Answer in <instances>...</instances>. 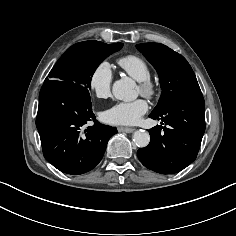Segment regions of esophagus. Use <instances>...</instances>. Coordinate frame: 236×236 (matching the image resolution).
<instances>
[{"instance_id":"1","label":"esophagus","mask_w":236,"mask_h":236,"mask_svg":"<svg viewBox=\"0 0 236 236\" xmlns=\"http://www.w3.org/2000/svg\"><path fill=\"white\" fill-rule=\"evenodd\" d=\"M134 130H135L134 128H130V127H118L119 132L131 133Z\"/></svg>"}]
</instances>
